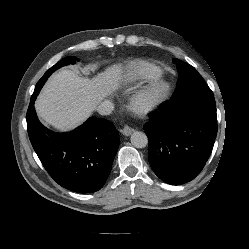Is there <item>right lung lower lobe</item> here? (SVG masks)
<instances>
[{"label": "right lung lower lobe", "mask_w": 249, "mask_h": 249, "mask_svg": "<svg viewBox=\"0 0 249 249\" xmlns=\"http://www.w3.org/2000/svg\"><path fill=\"white\" fill-rule=\"evenodd\" d=\"M42 87H35L26 115L32 146L50 176L62 187L80 193L98 191L105 184L119 146L114 125L90 117L71 132L55 133L38 120L34 101Z\"/></svg>", "instance_id": "1"}]
</instances>
